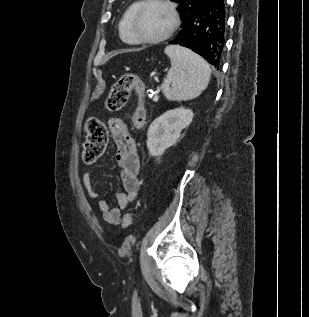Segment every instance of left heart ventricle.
<instances>
[{"mask_svg":"<svg viewBox=\"0 0 309 317\" xmlns=\"http://www.w3.org/2000/svg\"><path fill=\"white\" fill-rule=\"evenodd\" d=\"M171 23L172 15L169 9L160 4H152L140 14L137 28L143 37L155 38L163 35Z\"/></svg>","mask_w":309,"mask_h":317,"instance_id":"obj_1","label":"left heart ventricle"}]
</instances>
